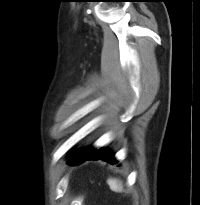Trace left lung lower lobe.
Wrapping results in <instances>:
<instances>
[{
	"instance_id": "1",
	"label": "left lung lower lobe",
	"mask_w": 200,
	"mask_h": 205,
	"mask_svg": "<svg viewBox=\"0 0 200 205\" xmlns=\"http://www.w3.org/2000/svg\"><path fill=\"white\" fill-rule=\"evenodd\" d=\"M86 160H103L110 163H116L117 161L114 159L113 154L105 151L103 149H92L88 148L86 150H82L74 153L70 159L68 160V165H77Z\"/></svg>"
}]
</instances>
